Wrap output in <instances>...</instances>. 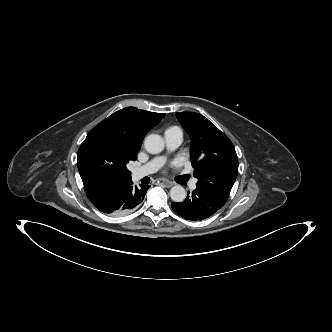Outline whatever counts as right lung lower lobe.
<instances>
[{"label":"right lung lower lobe","mask_w":332,"mask_h":332,"mask_svg":"<svg viewBox=\"0 0 332 332\" xmlns=\"http://www.w3.org/2000/svg\"><path fill=\"white\" fill-rule=\"evenodd\" d=\"M149 187L146 185L138 188L129 179L119 183H98L86 192L98 210L112 215H125L139 206Z\"/></svg>","instance_id":"98d812e1"}]
</instances>
